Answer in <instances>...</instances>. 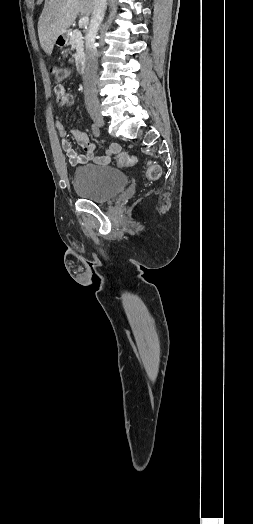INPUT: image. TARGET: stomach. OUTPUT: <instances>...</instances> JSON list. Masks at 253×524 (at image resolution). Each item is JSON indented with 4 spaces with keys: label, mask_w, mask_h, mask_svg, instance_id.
I'll return each instance as SVG.
<instances>
[{
    "label": "stomach",
    "mask_w": 253,
    "mask_h": 524,
    "mask_svg": "<svg viewBox=\"0 0 253 524\" xmlns=\"http://www.w3.org/2000/svg\"><path fill=\"white\" fill-rule=\"evenodd\" d=\"M55 44L58 46V47H65L66 45H68V34L64 33L62 35H59L57 37V39L55 40Z\"/></svg>",
    "instance_id": "1"
}]
</instances>
